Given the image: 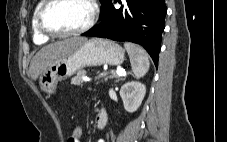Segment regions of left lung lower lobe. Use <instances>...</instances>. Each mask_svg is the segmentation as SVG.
Here are the masks:
<instances>
[{"mask_svg":"<svg viewBox=\"0 0 227 142\" xmlns=\"http://www.w3.org/2000/svg\"><path fill=\"white\" fill-rule=\"evenodd\" d=\"M114 2L120 3L121 7L116 9L111 0L100 14L101 23L83 35L140 44L150 54L157 67L167 13L165 0Z\"/></svg>","mask_w":227,"mask_h":142,"instance_id":"1","label":"left lung lower lobe"}]
</instances>
